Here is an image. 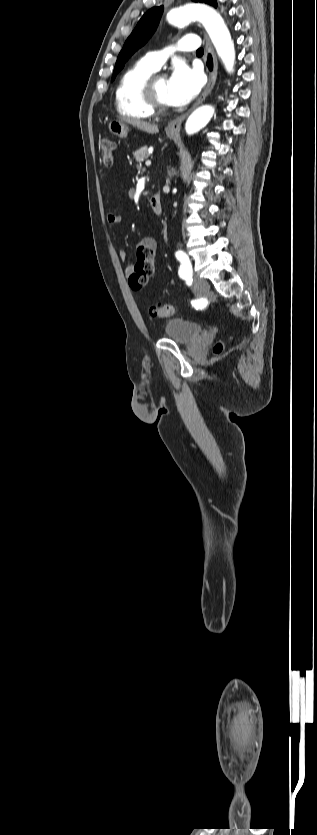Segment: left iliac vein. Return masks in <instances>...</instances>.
<instances>
[{
  "instance_id": "4c4485c4",
  "label": "left iliac vein",
  "mask_w": 317,
  "mask_h": 835,
  "mask_svg": "<svg viewBox=\"0 0 317 835\" xmlns=\"http://www.w3.org/2000/svg\"><path fill=\"white\" fill-rule=\"evenodd\" d=\"M192 289L197 296H203L209 291V284L205 279L195 276Z\"/></svg>"
}]
</instances>
